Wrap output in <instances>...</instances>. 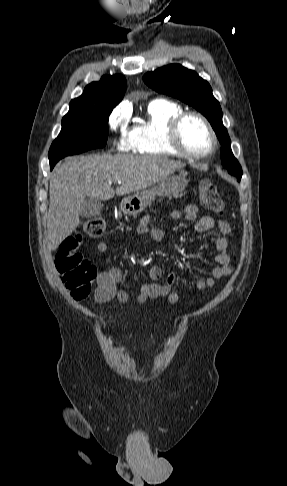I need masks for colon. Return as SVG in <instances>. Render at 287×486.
<instances>
[{
	"label": "colon",
	"mask_w": 287,
	"mask_h": 486,
	"mask_svg": "<svg viewBox=\"0 0 287 486\" xmlns=\"http://www.w3.org/2000/svg\"><path fill=\"white\" fill-rule=\"evenodd\" d=\"M199 193L201 202L207 209L219 215L223 214L224 202L215 184L206 179L202 180ZM105 228L106 222L102 217L96 216L86 220L82 232L64 240L56 254V269L75 300L86 299L97 278L96 267L78 252V247L84 237H99Z\"/></svg>",
	"instance_id": "obj_1"
}]
</instances>
